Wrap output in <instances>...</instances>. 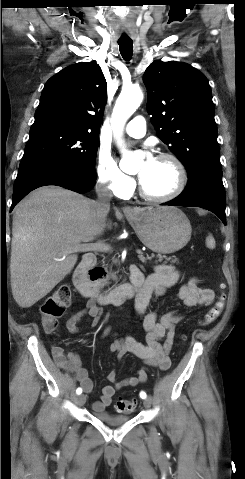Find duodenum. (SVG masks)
<instances>
[{
  "label": "duodenum",
  "mask_w": 245,
  "mask_h": 479,
  "mask_svg": "<svg viewBox=\"0 0 245 479\" xmlns=\"http://www.w3.org/2000/svg\"><path fill=\"white\" fill-rule=\"evenodd\" d=\"M137 268L133 270L130 268L131 280L129 283L102 291L99 286L102 274L97 265V259L93 254H86L75 270L73 283L83 297L92 298L101 305H118L127 299L137 297L142 291L144 279Z\"/></svg>",
  "instance_id": "1"
}]
</instances>
